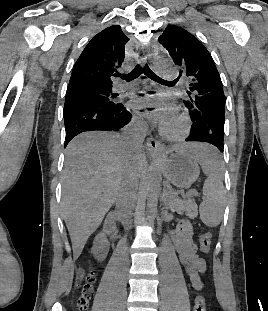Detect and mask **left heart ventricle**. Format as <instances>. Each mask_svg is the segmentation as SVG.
Instances as JSON below:
<instances>
[{"label":"left heart ventricle","mask_w":268,"mask_h":311,"mask_svg":"<svg viewBox=\"0 0 268 311\" xmlns=\"http://www.w3.org/2000/svg\"><path fill=\"white\" fill-rule=\"evenodd\" d=\"M170 131H176L178 129V124L175 119L165 125Z\"/></svg>","instance_id":"obj_1"}]
</instances>
